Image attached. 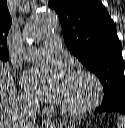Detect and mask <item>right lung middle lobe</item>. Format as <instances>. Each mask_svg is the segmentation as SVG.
<instances>
[{
	"label": "right lung middle lobe",
	"mask_w": 125,
	"mask_h": 128,
	"mask_svg": "<svg viewBox=\"0 0 125 128\" xmlns=\"http://www.w3.org/2000/svg\"><path fill=\"white\" fill-rule=\"evenodd\" d=\"M0 60H2V61H7V59H0Z\"/></svg>",
	"instance_id": "obj_1"
}]
</instances>
